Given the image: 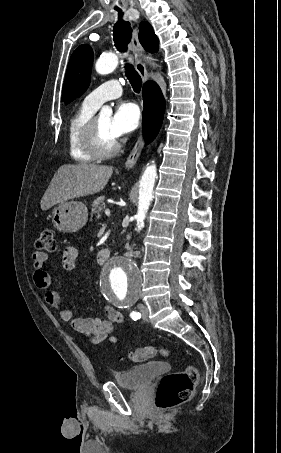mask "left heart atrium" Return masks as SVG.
I'll list each match as a JSON object with an SVG mask.
<instances>
[{
	"instance_id": "left-heart-atrium-1",
	"label": "left heart atrium",
	"mask_w": 281,
	"mask_h": 453,
	"mask_svg": "<svg viewBox=\"0 0 281 453\" xmlns=\"http://www.w3.org/2000/svg\"><path fill=\"white\" fill-rule=\"evenodd\" d=\"M141 122L139 107L130 101H121L116 106L111 118L110 131L118 139L120 136L130 133L138 128Z\"/></svg>"
}]
</instances>
